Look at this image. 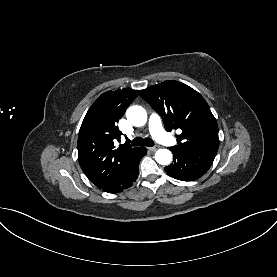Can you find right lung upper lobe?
<instances>
[{"label":"right lung upper lobe","mask_w":277,"mask_h":277,"mask_svg":"<svg viewBox=\"0 0 277 277\" xmlns=\"http://www.w3.org/2000/svg\"><path fill=\"white\" fill-rule=\"evenodd\" d=\"M139 90L118 89L103 93L88 110L78 135V161L88 179L99 189L112 182L133 160L140 148L114 142L122 135L117 123Z\"/></svg>","instance_id":"cb5924a9"}]
</instances>
